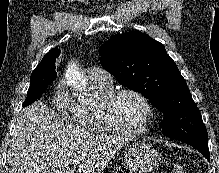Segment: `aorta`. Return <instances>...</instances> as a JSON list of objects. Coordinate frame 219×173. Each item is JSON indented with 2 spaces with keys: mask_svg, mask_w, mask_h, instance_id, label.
<instances>
[{
  "mask_svg": "<svg viewBox=\"0 0 219 173\" xmlns=\"http://www.w3.org/2000/svg\"><path fill=\"white\" fill-rule=\"evenodd\" d=\"M76 68H74L75 70ZM68 84L78 90V91H82L86 89L87 86V79L86 77L80 73L79 71H75V77L71 80H69Z\"/></svg>",
  "mask_w": 219,
  "mask_h": 173,
  "instance_id": "762f6f07",
  "label": "aorta"
}]
</instances>
